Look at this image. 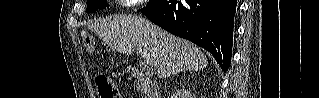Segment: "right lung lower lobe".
<instances>
[{
  "mask_svg": "<svg viewBox=\"0 0 319 98\" xmlns=\"http://www.w3.org/2000/svg\"><path fill=\"white\" fill-rule=\"evenodd\" d=\"M236 0H150L141 9L168 32L208 50L221 69L230 66Z\"/></svg>",
  "mask_w": 319,
  "mask_h": 98,
  "instance_id": "obj_1",
  "label": "right lung lower lobe"
}]
</instances>
